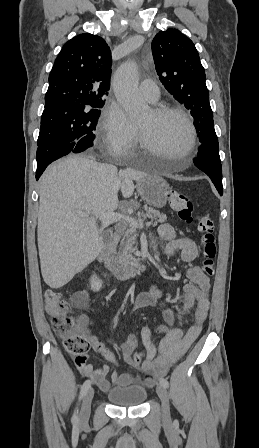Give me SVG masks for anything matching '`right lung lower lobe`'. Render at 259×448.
<instances>
[{
  "label": "right lung lower lobe",
  "instance_id": "98d812e1",
  "mask_svg": "<svg viewBox=\"0 0 259 448\" xmlns=\"http://www.w3.org/2000/svg\"><path fill=\"white\" fill-rule=\"evenodd\" d=\"M75 142L71 143H52L38 146L37 149V170L36 179L44 172L46 167L53 161L69 154L75 153Z\"/></svg>",
  "mask_w": 259,
  "mask_h": 448
}]
</instances>
